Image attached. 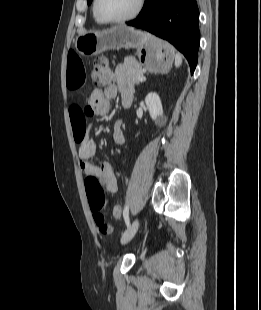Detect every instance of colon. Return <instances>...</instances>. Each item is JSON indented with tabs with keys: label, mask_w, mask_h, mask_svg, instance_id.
<instances>
[{
	"label": "colon",
	"mask_w": 261,
	"mask_h": 310,
	"mask_svg": "<svg viewBox=\"0 0 261 310\" xmlns=\"http://www.w3.org/2000/svg\"><path fill=\"white\" fill-rule=\"evenodd\" d=\"M112 70L108 61L99 57L94 61V68L91 74V81L94 85L102 86L111 81ZM87 195L90 207L94 212V221L102 234H111L113 227L106 222L103 214L100 212L106 206V198L99 180L95 177H87L86 179ZM121 206L114 205L112 207V214L115 218L121 217Z\"/></svg>",
	"instance_id": "5ec220e1"
}]
</instances>
